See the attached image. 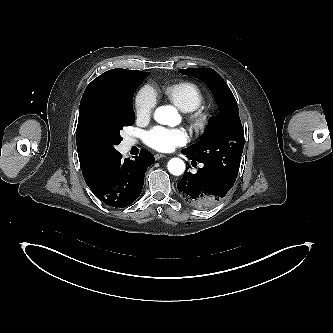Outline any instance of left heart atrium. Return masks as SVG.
I'll use <instances>...</instances> for the list:
<instances>
[{"instance_id": "1", "label": "left heart atrium", "mask_w": 333, "mask_h": 333, "mask_svg": "<svg viewBox=\"0 0 333 333\" xmlns=\"http://www.w3.org/2000/svg\"><path fill=\"white\" fill-rule=\"evenodd\" d=\"M145 141L158 151L169 152L177 146L184 145L187 142V136L180 129L154 127L146 132Z\"/></svg>"}]
</instances>
